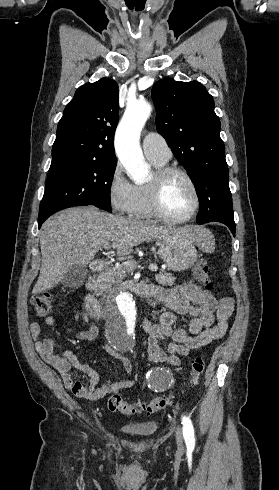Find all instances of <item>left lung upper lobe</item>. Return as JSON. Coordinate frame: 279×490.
Wrapping results in <instances>:
<instances>
[{
	"label": "left lung upper lobe",
	"instance_id": "1",
	"mask_svg": "<svg viewBox=\"0 0 279 490\" xmlns=\"http://www.w3.org/2000/svg\"><path fill=\"white\" fill-rule=\"evenodd\" d=\"M152 98L157 108V131L196 188L200 203L197 223L234 224L225 146L212 96L197 81L167 78L154 84Z\"/></svg>",
	"mask_w": 279,
	"mask_h": 490
}]
</instances>
